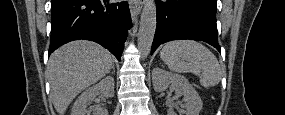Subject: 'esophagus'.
<instances>
[{"label":"esophagus","mask_w":285,"mask_h":115,"mask_svg":"<svg viewBox=\"0 0 285 115\" xmlns=\"http://www.w3.org/2000/svg\"><path fill=\"white\" fill-rule=\"evenodd\" d=\"M142 5V0H129V7L133 21L135 20L136 16L141 12Z\"/></svg>","instance_id":"1"}]
</instances>
